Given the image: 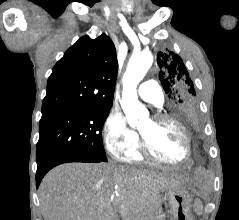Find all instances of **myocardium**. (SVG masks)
<instances>
[{
    "label": "myocardium",
    "mask_w": 239,
    "mask_h": 220,
    "mask_svg": "<svg viewBox=\"0 0 239 220\" xmlns=\"http://www.w3.org/2000/svg\"><path fill=\"white\" fill-rule=\"evenodd\" d=\"M151 119H152V121H154L157 124L169 123V124H173V125L177 126L183 135L185 145H186V153H185V156L181 160H177V161H172V160H168L163 157H160L159 155H157L154 152V150L152 149L149 142L141 134V141H140L141 154L150 160H153V161H156V162H159L162 164H167V165H181V164H184L185 162H187L191 157L192 147H191V139H190L188 130L185 127V125L182 122H180L178 119H176L168 114L158 113V114L153 115L151 117Z\"/></svg>",
    "instance_id": "1"
}]
</instances>
